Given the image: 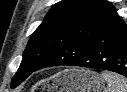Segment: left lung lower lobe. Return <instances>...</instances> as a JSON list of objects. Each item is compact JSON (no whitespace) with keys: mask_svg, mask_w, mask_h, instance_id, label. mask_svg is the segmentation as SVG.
Masks as SVG:
<instances>
[{"mask_svg":"<svg viewBox=\"0 0 127 92\" xmlns=\"http://www.w3.org/2000/svg\"><path fill=\"white\" fill-rule=\"evenodd\" d=\"M59 65L109 70L127 77V25L114 11L62 45L37 70Z\"/></svg>","mask_w":127,"mask_h":92,"instance_id":"left-lung-lower-lobe-1","label":"left lung lower lobe"}]
</instances>
